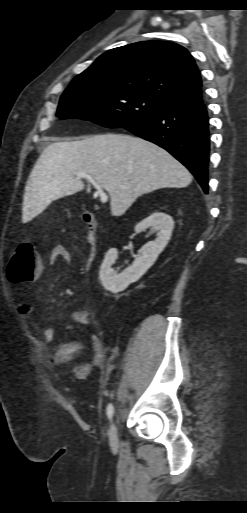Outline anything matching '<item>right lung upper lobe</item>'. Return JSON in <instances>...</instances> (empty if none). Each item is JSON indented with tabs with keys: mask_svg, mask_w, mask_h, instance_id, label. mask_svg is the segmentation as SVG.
<instances>
[{
	"mask_svg": "<svg viewBox=\"0 0 247 513\" xmlns=\"http://www.w3.org/2000/svg\"><path fill=\"white\" fill-rule=\"evenodd\" d=\"M72 82L124 88L169 106L201 99V77L193 57L175 43L142 41L111 49Z\"/></svg>",
	"mask_w": 247,
	"mask_h": 513,
	"instance_id": "cb5924a9",
	"label": "right lung upper lobe"
}]
</instances>
